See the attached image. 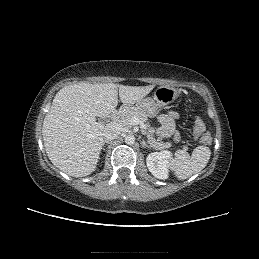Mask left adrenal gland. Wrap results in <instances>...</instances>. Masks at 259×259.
<instances>
[{"label":"left adrenal gland","mask_w":259,"mask_h":259,"mask_svg":"<svg viewBox=\"0 0 259 259\" xmlns=\"http://www.w3.org/2000/svg\"><path fill=\"white\" fill-rule=\"evenodd\" d=\"M141 145L144 146V147H147V148H151V146L148 145V144L146 143V141H144V140L141 141Z\"/></svg>","instance_id":"left-adrenal-gland-1"}]
</instances>
